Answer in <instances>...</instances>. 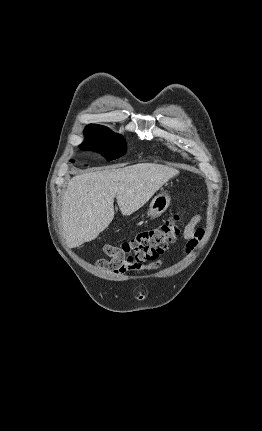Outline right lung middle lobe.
Returning a JSON list of instances; mask_svg holds the SVG:
<instances>
[{"label": "right lung middle lobe", "instance_id": "obj_1", "mask_svg": "<svg viewBox=\"0 0 262 431\" xmlns=\"http://www.w3.org/2000/svg\"><path fill=\"white\" fill-rule=\"evenodd\" d=\"M86 140L81 147L84 150L100 152L108 161L117 159L126 152V145L121 135L113 133L104 126H90L84 130ZM74 163V160H70Z\"/></svg>", "mask_w": 262, "mask_h": 431}]
</instances>
